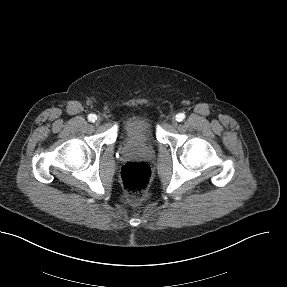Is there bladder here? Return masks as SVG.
<instances>
[{
	"label": "bladder",
	"instance_id": "obj_1",
	"mask_svg": "<svg viewBox=\"0 0 287 287\" xmlns=\"http://www.w3.org/2000/svg\"><path fill=\"white\" fill-rule=\"evenodd\" d=\"M128 136L138 140H149L153 135V128L150 120L143 115L130 117L124 126Z\"/></svg>",
	"mask_w": 287,
	"mask_h": 287
}]
</instances>
